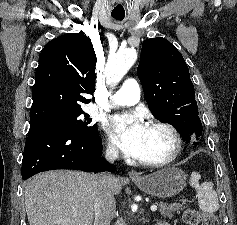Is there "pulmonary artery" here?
I'll list each match as a JSON object with an SVG mask.
<instances>
[{
    "instance_id": "pulmonary-artery-1",
    "label": "pulmonary artery",
    "mask_w": 237,
    "mask_h": 225,
    "mask_svg": "<svg viewBox=\"0 0 237 225\" xmlns=\"http://www.w3.org/2000/svg\"><path fill=\"white\" fill-rule=\"evenodd\" d=\"M140 99V86L134 79H127L122 88L110 99V107L130 106L136 104Z\"/></svg>"
}]
</instances>
